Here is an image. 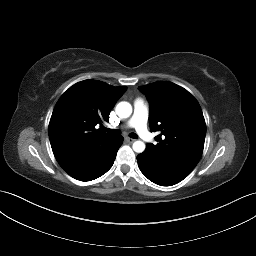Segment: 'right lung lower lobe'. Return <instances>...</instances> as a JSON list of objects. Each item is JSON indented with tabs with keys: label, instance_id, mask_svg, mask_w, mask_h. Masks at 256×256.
Instances as JSON below:
<instances>
[{
	"label": "right lung lower lobe",
	"instance_id": "98d812e1",
	"mask_svg": "<svg viewBox=\"0 0 256 256\" xmlns=\"http://www.w3.org/2000/svg\"><path fill=\"white\" fill-rule=\"evenodd\" d=\"M123 140L122 136H116L111 140L102 142L87 152L58 163L70 176L77 180H94L111 168Z\"/></svg>",
	"mask_w": 256,
	"mask_h": 256
}]
</instances>
